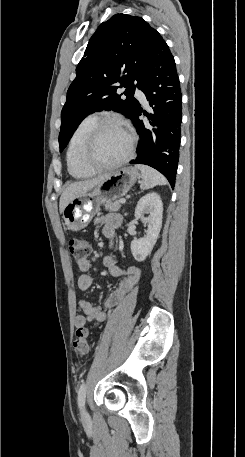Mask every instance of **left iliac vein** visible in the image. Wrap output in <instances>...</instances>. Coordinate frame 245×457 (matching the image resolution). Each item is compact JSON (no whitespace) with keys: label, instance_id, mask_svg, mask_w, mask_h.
<instances>
[{"label":"left iliac vein","instance_id":"left-iliac-vein-1","mask_svg":"<svg viewBox=\"0 0 245 457\" xmlns=\"http://www.w3.org/2000/svg\"><path fill=\"white\" fill-rule=\"evenodd\" d=\"M82 416H83L84 418H88V413H87L86 411H83Z\"/></svg>","mask_w":245,"mask_h":457}]
</instances>
